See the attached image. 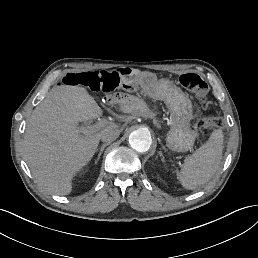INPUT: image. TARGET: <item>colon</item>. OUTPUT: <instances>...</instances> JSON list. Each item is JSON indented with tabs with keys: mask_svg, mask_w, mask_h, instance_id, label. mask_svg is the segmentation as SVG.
Segmentation results:
<instances>
[{
	"mask_svg": "<svg viewBox=\"0 0 258 258\" xmlns=\"http://www.w3.org/2000/svg\"><path fill=\"white\" fill-rule=\"evenodd\" d=\"M62 83L68 86H82L93 92L111 93L119 88H129L130 84L123 82L117 76L116 70L89 71L80 73H67L62 78ZM180 83L192 91L202 103H208V85L196 73L181 75ZM217 123V120H211Z\"/></svg>",
	"mask_w": 258,
	"mask_h": 258,
	"instance_id": "obj_1",
	"label": "colon"
}]
</instances>
